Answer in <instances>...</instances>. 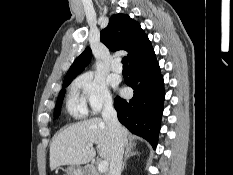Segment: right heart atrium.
I'll return each mask as SVG.
<instances>
[{
	"label": "right heart atrium",
	"instance_id": "obj_1",
	"mask_svg": "<svg viewBox=\"0 0 233 175\" xmlns=\"http://www.w3.org/2000/svg\"><path fill=\"white\" fill-rule=\"evenodd\" d=\"M72 88L79 94L86 108L88 107L92 114H98L113 104V98L107 84L92 74L80 75L73 82Z\"/></svg>",
	"mask_w": 233,
	"mask_h": 175
}]
</instances>
